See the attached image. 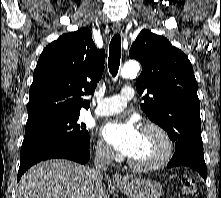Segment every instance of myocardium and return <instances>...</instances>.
Returning <instances> with one entry per match:
<instances>
[{
	"instance_id": "obj_1",
	"label": "myocardium",
	"mask_w": 221,
	"mask_h": 198,
	"mask_svg": "<svg viewBox=\"0 0 221 198\" xmlns=\"http://www.w3.org/2000/svg\"><path fill=\"white\" fill-rule=\"evenodd\" d=\"M141 131L154 132L162 141V152L155 160L148 163H139L128 157V165L138 171H152L161 168L170 160L173 153V143L170 136L161 126L154 123H147L143 125Z\"/></svg>"
}]
</instances>
